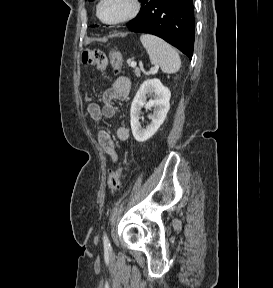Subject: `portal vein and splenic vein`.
Returning a JSON list of instances; mask_svg holds the SVG:
<instances>
[{
	"instance_id": "obj_1",
	"label": "portal vein and splenic vein",
	"mask_w": 273,
	"mask_h": 288,
	"mask_svg": "<svg viewBox=\"0 0 273 288\" xmlns=\"http://www.w3.org/2000/svg\"><path fill=\"white\" fill-rule=\"evenodd\" d=\"M130 66L133 67V68H135V67L137 66V63L134 62V61H132L131 64H130ZM158 68H159L158 66H154V67L152 68L151 72H152V73H155V72L158 70Z\"/></svg>"
}]
</instances>
